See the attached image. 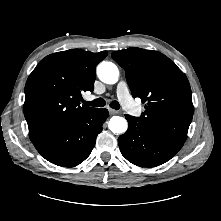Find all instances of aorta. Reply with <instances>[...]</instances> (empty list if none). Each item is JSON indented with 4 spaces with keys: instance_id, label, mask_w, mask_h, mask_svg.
Masks as SVG:
<instances>
[{
    "instance_id": "aorta-1",
    "label": "aorta",
    "mask_w": 221,
    "mask_h": 221,
    "mask_svg": "<svg viewBox=\"0 0 221 221\" xmlns=\"http://www.w3.org/2000/svg\"><path fill=\"white\" fill-rule=\"evenodd\" d=\"M97 75L99 79L106 84H115L119 79V70L112 62H101L97 67ZM108 127L115 134L126 132L128 124L125 118L113 116L109 120Z\"/></svg>"
}]
</instances>
